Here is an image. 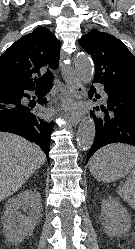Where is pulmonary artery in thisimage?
I'll use <instances>...</instances> for the list:
<instances>
[{"mask_svg":"<svg viewBox=\"0 0 135 249\" xmlns=\"http://www.w3.org/2000/svg\"><path fill=\"white\" fill-rule=\"evenodd\" d=\"M103 97H104L105 100H107V96H106L105 93H103Z\"/></svg>","mask_w":135,"mask_h":249,"instance_id":"1","label":"pulmonary artery"}]
</instances>
